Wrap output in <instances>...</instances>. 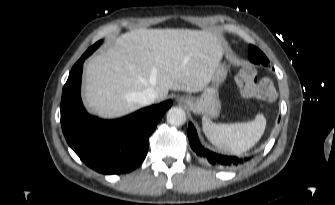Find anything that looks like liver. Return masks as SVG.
Returning <instances> with one entry per match:
<instances>
[{
    "mask_svg": "<svg viewBox=\"0 0 335 205\" xmlns=\"http://www.w3.org/2000/svg\"><path fill=\"white\" fill-rule=\"evenodd\" d=\"M223 50L222 41L204 30H131L87 62L85 102L92 113L116 118L139 109L137 94L149 87L157 101L169 90L199 92L211 82Z\"/></svg>",
    "mask_w": 335,
    "mask_h": 205,
    "instance_id": "1",
    "label": "liver"
}]
</instances>
